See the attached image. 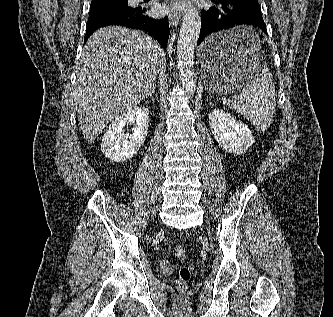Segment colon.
Returning <instances> with one entry per match:
<instances>
[{"mask_svg": "<svg viewBox=\"0 0 333 317\" xmlns=\"http://www.w3.org/2000/svg\"><path fill=\"white\" fill-rule=\"evenodd\" d=\"M175 254L177 258L183 263L179 271V278L176 282V286L180 291H185L187 289L188 282L192 278L191 268L184 263L187 255L186 247L181 244L177 245L175 247Z\"/></svg>", "mask_w": 333, "mask_h": 317, "instance_id": "obj_1", "label": "colon"}]
</instances>
